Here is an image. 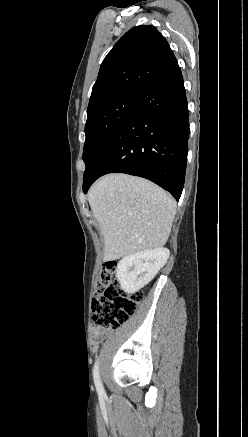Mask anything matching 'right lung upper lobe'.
<instances>
[{"mask_svg":"<svg viewBox=\"0 0 248 437\" xmlns=\"http://www.w3.org/2000/svg\"><path fill=\"white\" fill-rule=\"evenodd\" d=\"M173 59L168 42L155 27L141 25L130 29L103 60L87 114L122 94L139 93Z\"/></svg>","mask_w":248,"mask_h":437,"instance_id":"right-lung-upper-lobe-1","label":"right lung upper lobe"}]
</instances>
